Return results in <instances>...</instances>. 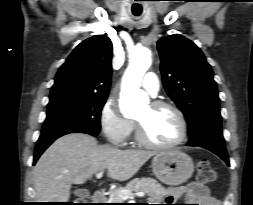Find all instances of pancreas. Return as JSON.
I'll use <instances>...</instances> for the list:
<instances>
[{"label": "pancreas", "mask_w": 253, "mask_h": 205, "mask_svg": "<svg viewBox=\"0 0 253 205\" xmlns=\"http://www.w3.org/2000/svg\"><path fill=\"white\" fill-rule=\"evenodd\" d=\"M121 190L140 191L149 196V201H162L167 191L157 183L153 178H135L130 181L125 187L115 190L108 200V203H123V200L118 196Z\"/></svg>", "instance_id": "obj_1"}]
</instances>
